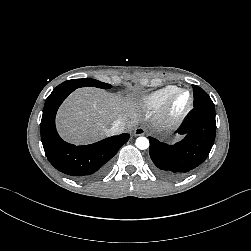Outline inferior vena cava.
Returning a JSON list of instances; mask_svg holds the SVG:
<instances>
[{
    "label": "inferior vena cava",
    "mask_w": 251,
    "mask_h": 251,
    "mask_svg": "<svg viewBox=\"0 0 251 251\" xmlns=\"http://www.w3.org/2000/svg\"><path fill=\"white\" fill-rule=\"evenodd\" d=\"M125 123L121 120H116L113 122L112 127L110 128L109 132L111 134H118L124 131L125 129Z\"/></svg>",
    "instance_id": "602c4592"
}]
</instances>
